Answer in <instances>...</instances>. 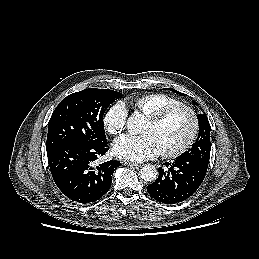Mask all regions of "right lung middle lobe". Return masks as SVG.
Returning a JSON list of instances; mask_svg holds the SVG:
<instances>
[{
	"label": "right lung middle lobe",
	"mask_w": 259,
	"mask_h": 259,
	"mask_svg": "<svg viewBox=\"0 0 259 259\" xmlns=\"http://www.w3.org/2000/svg\"><path fill=\"white\" fill-rule=\"evenodd\" d=\"M122 93L89 88L68 95L55 108L48 123L46 150L64 144H107L103 115Z\"/></svg>",
	"instance_id": "right-lung-middle-lobe-1"
}]
</instances>
